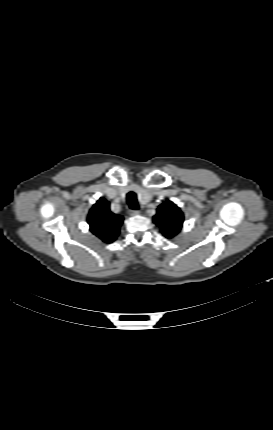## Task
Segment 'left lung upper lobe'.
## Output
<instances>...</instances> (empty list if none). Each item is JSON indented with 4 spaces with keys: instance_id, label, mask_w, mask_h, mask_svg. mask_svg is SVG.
Returning <instances> with one entry per match:
<instances>
[{
    "instance_id": "obj_1",
    "label": "left lung upper lobe",
    "mask_w": 273,
    "mask_h": 430,
    "mask_svg": "<svg viewBox=\"0 0 273 430\" xmlns=\"http://www.w3.org/2000/svg\"><path fill=\"white\" fill-rule=\"evenodd\" d=\"M183 220L180 208L171 201L161 204L153 217L154 223L161 228V232L167 238H172L180 231Z\"/></svg>"
}]
</instances>
